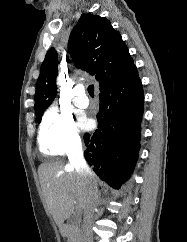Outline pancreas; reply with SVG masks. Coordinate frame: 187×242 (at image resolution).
<instances>
[{"label":"pancreas","instance_id":"obj_1","mask_svg":"<svg viewBox=\"0 0 187 242\" xmlns=\"http://www.w3.org/2000/svg\"><path fill=\"white\" fill-rule=\"evenodd\" d=\"M79 236H80V229L78 228L77 225H72L69 233L68 242H77Z\"/></svg>","mask_w":187,"mask_h":242}]
</instances>
